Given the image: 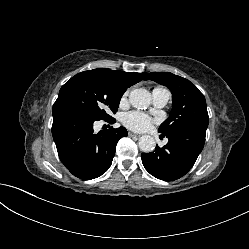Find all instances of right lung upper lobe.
<instances>
[{
  "instance_id": "obj_1",
  "label": "right lung upper lobe",
  "mask_w": 249,
  "mask_h": 249,
  "mask_svg": "<svg viewBox=\"0 0 249 249\" xmlns=\"http://www.w3.org/2000/svg\"><path fill=\"white\" fill-rule=\"evenodd\" d=\"M94 70L111 79L113 82H115L119 87H121L125 91L130 86L141 81L146 75V73L115 71L104 68L94 69Z\"/></svg>"
}]
</instances>
